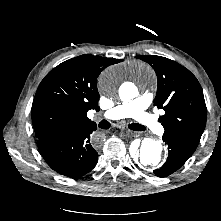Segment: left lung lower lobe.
Segmentation results:
<instances>
[{
	"instance_id": "1",
	"label": "left lung lower lobe",
	"mask_w": 221,
	"mask_h": 221,
	"mask_svg": "<svg viewBox=\"0 0 221 221\" xmlns=\"http://www.w3.org/2000/svg\"><path fill=\"white\" fill-rule=\"evenodd\" d=\"M168 144L169 155L165 164L154 170L158 177H166L178 170L196 150L197 144L174 136H163Z\"/></svg>"
}]
</instances>
